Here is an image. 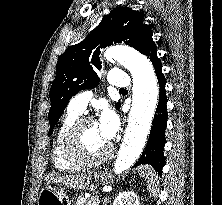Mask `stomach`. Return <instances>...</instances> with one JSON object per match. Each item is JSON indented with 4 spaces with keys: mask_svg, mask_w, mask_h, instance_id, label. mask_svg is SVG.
<instances>
[{
    "mask_svg": "<svg viewBox=\"0 0 222 205\" xmlns=\"http://www.w3.org/2000/svg\"><path fill=\"white\" fill-rule=\"evenodd\" d=\"M94 179L103 181L104 175L102 173L96 174ZM39 205H71V200L68 197L67 191L61 186L46 185L39 196Z\"/></svg>",
    "mask_w": 222,
    "mask_h": 205,
    "instance_id": "1",
    "label": "stomach"
}]
</instances>
